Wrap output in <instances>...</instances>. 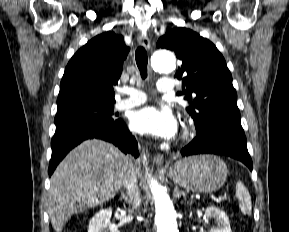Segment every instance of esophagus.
<instances>
[{"label": "esophagus", "instance_id": "esophagus-1", "mask_svg": "<svg viewBox=\"0 0 289 232\" xmlns=\"http://www.w3.org/2000/svg\"><path fill=\"white\" fill-rule=\"evenodd\" d=\"M138 43L145 47L146 49H150V40L146 35L139 34L138 35ZM164 162V157L162 154L157 153L154 157V163L157 167H161Z\"/></svg>", "mask_w": 289, "mask_h": 232}]
</instances>
